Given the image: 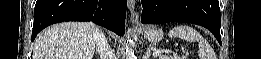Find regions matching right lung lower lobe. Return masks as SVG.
Returning a JSON list of instances; mask_svg holds the SVG:
<instances>
[{"mask_svg": "<svg viewBox=\"0 0 261 59\" xmlns=\"http://www.w3.org/2000/svg\"><path fill=\"white\" fill-rule=\"evenodd\" d=\"M126 0H37L31 41L45 27L64 21H92L122 36Z\"/></svg>", "mask_w": 261, "mask_h": 59, "instance_id": "right-lung-lower-lobe-1", "label": "right lung lower lobe"}]
</instances>
